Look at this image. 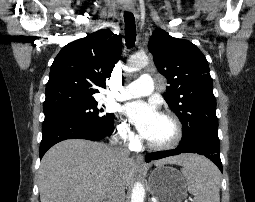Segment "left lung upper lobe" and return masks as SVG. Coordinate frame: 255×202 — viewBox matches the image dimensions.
Returning <instances> with one entry per match:
<instances>
[{
    "label": "left lung upper lobe",
    "mask_w": 255,
    "mask_h": 202,
    "mask_svg": "<svg viewBox=\"0 0 255 202\" xmlns=\"http://www.w3.org/2000/svg\"><path fill=\"white\" fill-rule=\"evenodd\" d=\"M159 72L169 86L164 99L183 125L182 143L219 140L216 100L208 62L190 41L156 29L148 44Z\"/></svg>",
    "instance_id": "5c2ea615"
}]
</instances>
